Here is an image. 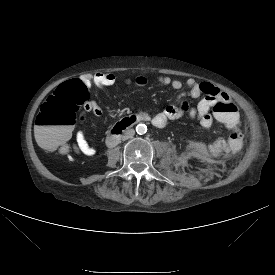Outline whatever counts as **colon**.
I'll return each mask as SVG.
<instances>
[{
	"instance_id": "obj_1",
	"label": "colon",
	"mask_w": 275,
	"mask_h": 275,
	"mask_svg": "<svg viewBox=\"0 0 275 275\" xmlns=\"http://www.w3.org/2000/svg\"><path fill=\"white\" fill-rule=\"evenodd\" d=\"M135 82L144 88L150 79L141 73ZM88 97L89 90L81 80L65 82L54 90L41 106L36 118V138L41 147L46 150L66 147L67 137L76 123L77 112L86 105ZM214 111L216 119L227 130L235 129L243 121L242 114L231 101H218Z\"/></svg>"
}]
</instances>
